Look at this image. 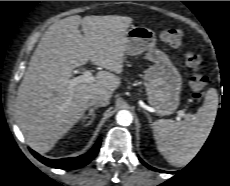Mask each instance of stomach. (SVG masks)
<instances>
[{
    "label": "stomach",
    "mask_w": 230,
    "mask_h": 186,
    "mask_svg": "<svg viewBox=\"0 0 230 186\" xmlns=\"http://www.w3.org/2000/svg\"><path fill=\"white\" fill-rule=\"evenodd\" d=\"M125 53L135 56L146 52L145 59L153 62L144 73L148 102L158 115H170L179 106L182 76L167 54L155 48V33L143 26L127 30Z\"/></svg>",
    "instance_id": "1"
}]
</instances>
